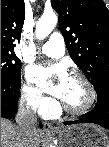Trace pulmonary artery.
Wrapping results in <instances>:
<instances>
[{
  "label": "pulmonary artery",
  "mask_w": 109,
  "mask_h": 147,
  "mask_svg": "<svg viewBox=\"0 0 109 147\" xmlns=\"http://www.w3.org/2000/svg\"><path fill=\"white\" fill-rule=\"evenodd\" d=\"M39 52L51 58L62 57L65 54L63 36L60 33L51 34L48 41L40 47Z\"/></svg>",
  "instance_id": "1"
}]
</instances>
